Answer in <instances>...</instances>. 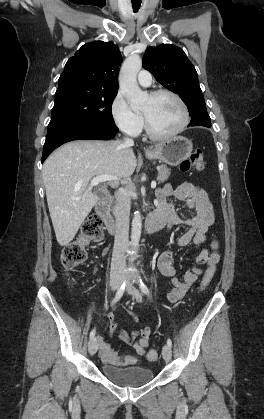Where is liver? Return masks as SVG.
Wrapping results in <instances>:
<instances>
[{"label": "liver", "mask_w": 264, "mask_h": 419, "mask_svg": "<svg viewBox=\"0 0 264 419\" xmlns=\"http://www.w3.org/2000/svg\"><path fill=\"white\" fill-rule=\"evenodd\" d=\"M158 146V145H157ZM156 146V147H157ZM137 162L131 146L121 141L78 140L64 144L43 165V182L57 242L69 244L99 201L90 181L101 175L130 177Z\"/></svg>", "instance_id": "obj_1"}]
</instances>
